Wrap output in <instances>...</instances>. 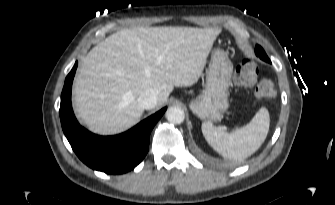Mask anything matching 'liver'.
Here are the masks:
<instances>
[{
    "mask_svg": "<svg viewBox=\"0 0 335 205\" xmlns=\"http://www.w3.org/2000/svg\"><path fill=\"white\" fill-rule=\"evenodd\" d=\"M220 30L193 27H138L120 30L82 59L74 81V105L97 134L112 135L133 126L144 109L138 97L158 94L156 107L174 87L195 84Z\"/></svg>",
    "mask_w": 335,
    "mask_h": 205,
    "instance_id": "1",
    "label": "liver"
}]
</instances>
